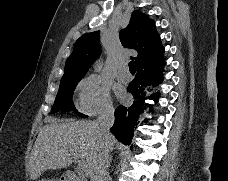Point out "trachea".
<instances>
[{"mask_svg":"<svg viewBox=\"0 0 228 181\" xmlns=\"http://www.w3.org/2000/svg\"><path fill=\"white\" fill-rule=\"evenodd\" d=\"M128 66H129V69H130L131 72H135V65H134V61L133 60L129 62Z\"/></svg>","mask_w":228,"mask_h":181,"instance_id":"3493384b","label":"trachea"}]
</instances>
